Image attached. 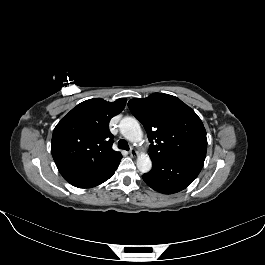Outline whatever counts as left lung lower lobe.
Instances as JSON below:
<instances>
[{
    "label": "left lung lower lobe",
    "mask_w": 265,
    "mask_h": 265,
    "mask_svg": "<svg viewBox=\"0 0 265 265\" xmlns=\"http://www.w3.org/2000/svg\"><path fill=\"white\" fill-rule=\"evenodd\" d=\"M206 151H194L170 156L164 159H151L152 170L142 178L152 189L173 194L185 189L200 173Z\"/></svg>",
    "instance_id": "1"
}]
</instances>
